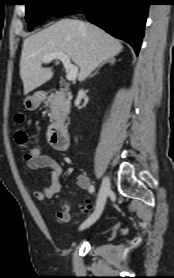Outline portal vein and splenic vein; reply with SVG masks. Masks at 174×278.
Segmentation results:
<instances>
[{"label": "portal vein and splenic vein", "instance_id": "obj_1", "mask_svg": "<svg viewBox=\"0 0 174 278\" xmlns=\"http://www.w3.org/2000/svg\"><path fill=\"white\" fill-rule=\"evenodd\" d=\"M53 59H58L63 63V65L66 69V73H67L66 78L68 81H73L76 79L77 74H78V67L71 63L68 55L61 53V52L50 53L43 57L42 62L49 63Z\"/></svg>", "mask_w": 174, "mask_h": 278}]
</instances>
